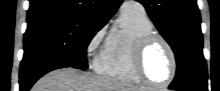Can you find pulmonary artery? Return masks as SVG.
Segmentation results:
<instances>
[{
  "label": "pulmonary artery",
  "mask_w": 220,
  "mask_h": 91,
  "mask_svg": "<svg viewBox=\"0 0 220 91\" xmlns=\"http://www.w3.org/2000/svg\"><path fill=\"white\" fill-rule=\"evenodd\" d=\"M122 12L144 13V8L139 2L129 1V2H126V3L123 4Z\"/></svg>",
  "instance_id": "1"
}]
</instances>
